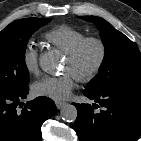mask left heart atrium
<instances>
[{"mask_svg":"<svg viewBox=\"0 0 141 141\" xmlns=\"http://www.w3.org/2000/svg\"><path fill=\"white\" fill-rule=\"evenodd\" d=\"M75 86V77L67 72L61 76H45L36 81L32 90L34 94L51 98L53 100L66 99Z\"/></svg>","mask_w":141,"mask_h":141,"instance_id":"1","label":"left heart atrium"}]
</instances>
